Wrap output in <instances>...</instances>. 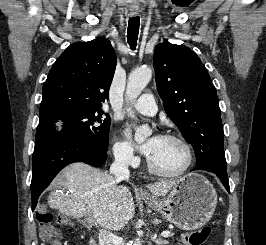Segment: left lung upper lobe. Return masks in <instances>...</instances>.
<instances>
[{
  "mask_svg": "<svg viewBox=\"0 0 266 245\" xmlns=\"http://www.w3.org/2000/svg\"><path fill=\"white\" fill-rule=\"evenodd\" d=\"M153 65L165 111L193 146L197 168L227 174L217 92L200 58L165 42L157 45Z\"/></svg>",
  "mask_w": 266,
  "mask_h": 245,
  "instance_id": "1",
  "label": "left lung upper lobe"
}]
</instances>
